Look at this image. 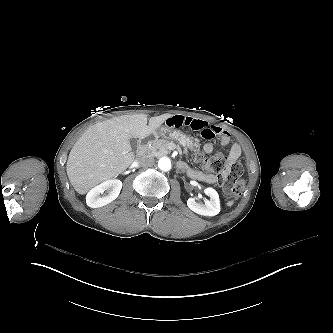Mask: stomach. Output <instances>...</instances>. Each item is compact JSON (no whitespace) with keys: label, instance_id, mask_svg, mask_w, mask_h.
<instances>
[{"label":"stomach","instance_id":"obj_1","mask_svg":"<svg viewBox=\"0 0 333 333\" xmlns=\"http://www.w3.org/2000/svg\"><path fill=\"white\" fill-rule=\"evenodd\" d=\"M160 137L180 141L187 149L197 148L200 145V140L197 137H193L190 133H182L179 130H174L166 125L158 127L146 138V141H153Z\"/></svg>","mask_w":333,"mask_h":333}]
</instances>
